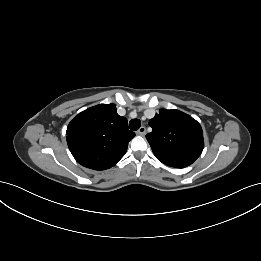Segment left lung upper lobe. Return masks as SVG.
I'll use <instances>...</instances> for the list:
<instances>
[{
  "instance_id": "5c2ea615",
  "label": "left lung upper lobe",
  "mask_w": 261,
  "mask_h": 261,
  "mask_svg": "<svg viewBox=\"0 0 261 261\" xmlns=\"http://www.w3.org/2000/svg\"><path fill=\"white\" fill-rule=\"evenodd\" d=\"M149 125L152 132L146 138L153 154L165 165L184 168L202 153V128L188 114L175 109H160Z\"/></svg>"
}]
</instances>
